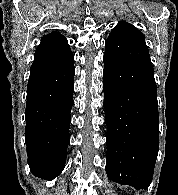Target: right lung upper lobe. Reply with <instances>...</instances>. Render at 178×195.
Returning <instances> with one entry per match:
<instances>
[{
    "instance_id": "obj_1",
    "label": "right lung upper lobe",
    "mask_w": 178,
    "mask_h": 195,
    "mask_svg": "<svg viewBox=\"0 0 178 195\" xmlns=\"http://www.w3.org/2000/svg\"><path fill=\"white\" fill-rule=\"evenodd\" d=\"M73 60V55L64 36L58 32L45 35L37 50L31 70L56 67Z\"/></svg>"
}]
</instances>
